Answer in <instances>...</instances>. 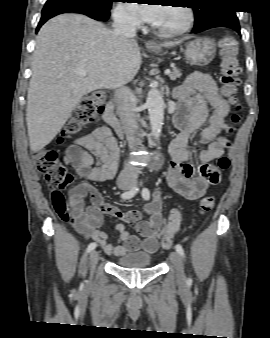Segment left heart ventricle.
I'll return each mask as SVG.
<instances>
[{"instance_id": "left-heart-ventricle-1", "label": "left heart ventricle", "mask_w": 270, "mask_h": 338, "mask_svg": "<svg viewBox=\"0 0 270 338\" xmlns=\"http://www.w3.org/2000/svg\"><path fill=\"white\" fill-rule=\"evenodd\" d=\"M185 22V13L182 8L165 6L162 8L158 20L153 25L163 30H173L181 27Z\"/></svg>"}]
</instances>
